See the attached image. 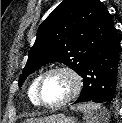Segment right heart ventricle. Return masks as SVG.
<instances>
[{
    "instance_id": "1",
    "label": "right heart ventricle",
    "mask_w": 122,
    "mask_h": 123,
    "mask_svg": "<svg viewBox=\"0 0 122 123\" xmlns=\"http://www.w3.org/2000/svg\"><path fill=\"white\" fill-rule=\"evenodd\" d=\"M40 76H41V74L36 75L32 79V81L29 84L28 91H27V95H28L29 100L35 106H39L40 105V103H39V101L37 99V96H36V87H37V83H38V81L40 79Z\"/></svg>"
}]
</instances>
